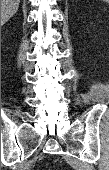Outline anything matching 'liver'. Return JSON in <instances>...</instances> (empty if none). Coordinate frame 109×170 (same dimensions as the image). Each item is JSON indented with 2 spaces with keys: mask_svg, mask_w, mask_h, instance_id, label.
Here are the masks:
<instances>
[{
  "mask_svg": "<svg viewBox=\"0 0 109 170\" xmlns=\"http://www.w3.org/2000/svg\"><path fill=\"white\" fill-rule=\"evenodd\" d=\"M20 0H1V24H5L18 10Z\"/></svg>",
  "mask_w": 109,
  "mask_h": 170,
  "instance_id": "obj_1",
  "label": "liver"
}]
</instances>
